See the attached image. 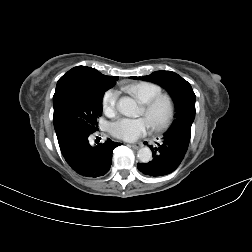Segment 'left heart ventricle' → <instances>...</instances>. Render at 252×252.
I'll return each instance as SVG.
<instances>
[{
	"instance_id": "obj_1",
	"label": "left heart ventricle",
	"mask_w": 252,
	"mask_h": 252,
	"mask_svg": "<svg viewBox=\"0 0 252 252\" xmlns=\"http://www.w3.org/2000/svg\"><path fill=\"white\" fill-rule=\"evenodd\" d=\"M141 114L145 116L149 125L160 123L166 114V104L161 102L155 108V110L150 115H145L144 110H141Z\"/></svg>"
}]
</instances>
